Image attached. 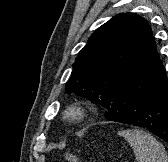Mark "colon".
<instances>
[{
  "label": "colon",
  "mask_w": 168,
  "mask_h": 162,
  "mask_svg": "<svg viewBox=\"0 0 168 162\" xmlns=\"http://www.w3.org/2000/svg\"><path fill=\"white\" fill-rule=\"evenodd\" d=\"M65 161L66 162H78V158L73 154H66Z\"/></svg>",
  "instance_id": "5ec220e1"
}]
</instances>
